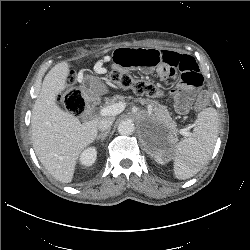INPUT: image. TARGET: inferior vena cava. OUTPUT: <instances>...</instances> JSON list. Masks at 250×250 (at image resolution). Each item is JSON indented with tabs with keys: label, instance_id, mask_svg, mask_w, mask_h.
<instances>
[{
	"label": "inferior vena cava",
	"instance_id": "inferior-vena-cava-1",
	"mask_svg": "<svg viewBox=\"0 0 250 250\" xmlns=\"http://www.w3.org/2000/svg\"><path fill=\"white\" fill-rule=\"evenodd\" d=\"M113 122H114V118H112V117L101 118L98 122V129L101 132L110 131V128H111Z\"/></svg>",
	"mask_w": 250,
	"mask_h": 250
}]
</instances>
